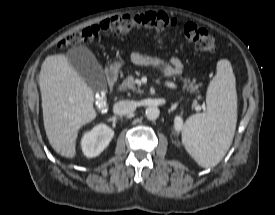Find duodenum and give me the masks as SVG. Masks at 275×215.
I'll list each match as a JSON object with an SVG mask.
<instances>
[{"instance_id": "obj_1", "label": "duodenum", "mask_w": 275, "mask_h": 215, "mask_svg": "<svg viewBox=\"0 0 275 215\" xmlns=\"http://www.w3.org/2000/svg\"><path fill=\"white\" fill-rule=\"evenodd\" d=\"M117 72L113 69H110L106 72V80H107V84L110 90H113L116 83H117Z\"/></svg>"}]
</instances>
